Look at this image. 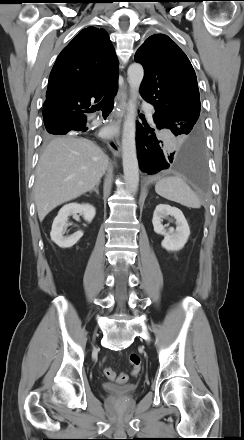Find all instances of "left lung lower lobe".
<instances>
[{"instance_id":"left-lung-lower-lobe-1","label":"left lung lower lobe","mask_w":244,"mask_h":440,"mask_svg":"<svg viewBox=\"0 0 244 440\" xmlns=\"http://www.w3.org/2000/svg\"><path fill=\"white\" fill-rule=\"evenodd\" d=\"M154 126L136 124V146L140 170L155 174L163 169H172L201 186L206 180V158L203 133L188 138L179 150L174 151L162 136L168 129L154 113Z\"/></svg>"}]
</instances>
